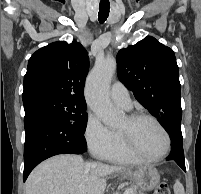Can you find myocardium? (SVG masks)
Masks as SVG:
<instances>
[{"label": "myocardium", "instance_id": "obj_1", "mask_svg": "<svg viewBox=\"0 0 201 194\" xmlns=\"http://www.w3.org/2000/svg\"><path fill=\"white\" fill-rule=\"evenodd\" d=\"M126 118L131 127L134 124H136L138 121L143 120V119L152 121L162 131V133L164 134L165 139H166L165 150L160 155L151 157V156L144 155L135 147L132 132L130 129L119 130L121 137L123 139L125 148L127 149V151L129 153H131L134 157L138 158L139 160H143V161H147V162L160 161L169 154L171 147H172L171 135L168 132V130L166 129V127L156 117H154L150 114H147V113L138 112V113L130 114Z\"/></svg>", "mask_w": 201, "mask_h": 194}]
</instances>
